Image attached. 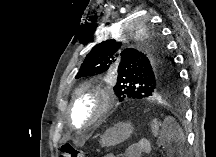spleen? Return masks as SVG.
<instances>
[{
  "label": "spleen",
  "mask_w": 216,
  "mask_h": 157,
  "mask_svg": "<svg viewBox=\"0 0 216 157\" xmlns=\"http://www.w3.org/2000/svg\"><path fill=\"white\" fill-rule=\"evenodd\" d=\"M160 143L165 145L169 152L181 150L184 147L185 135L182 128L173 117H166L160 132ZM182 155V153H180Z\"/></svg>",
  "instance_id": "spleen-1"
}]
</instances>
